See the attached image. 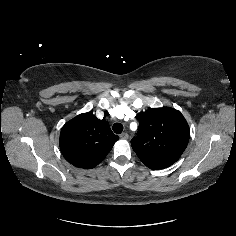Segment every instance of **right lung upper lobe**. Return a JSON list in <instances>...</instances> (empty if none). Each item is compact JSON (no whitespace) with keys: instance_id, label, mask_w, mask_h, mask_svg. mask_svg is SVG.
<instances>
[{"instance_id":"1","label":"right lung upper lobe","mask_w":236,"mask_h":236,"mask_svg":"<svg viewBox=\"0 0 236 236\" xmlns=\"http://www.w3.org/2000/svg\"><path fill=\"white\" fill-rule=\"evenodd\" d=\"M119 139L106 120L84 113L67 122L60 133V150L72 165L92 169L110 152Z\"/></svg>"}]
</instances>
